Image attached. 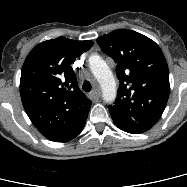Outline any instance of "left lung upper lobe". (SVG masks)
I'll return each instance as SVG.
<instances>
[{"label": "left lung upper lobe", "instance_id": "5c2ea615", "mask_svg": "<svg viewBox=\"0 0 187 187\" xmlns=\"http://www.w3.org/2000/svg\"><path fill=\"white\" fill-rule=\"evenodd\" d=\"M102 51L117 63V98L108 106L115 125L140 134L160 119L170 92L169 70L160 47L150 38L127 29L97 39Z\"/></svg>", "mask_w": 187, "mask_h": 187}]
</instances>
